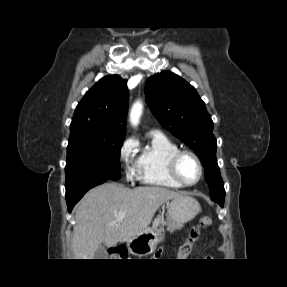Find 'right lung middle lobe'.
Listing matches in <instances>:
<instances>
[{
  "label": "right lung middle lobe",
  "instance_id": "1",
  "mask_svg": "<svg viewBox=\"0 0 287 287\" xmlns=\"http://www.w3.org/2000/svg\"><path fill=\"white\" fill-rule=\"evenodd\" d=\"M123 139L96 136L87 129L71 132L65 167L66 192L88 181L119 179Z\"/></svg>",
  "mask_w": 287,
  "mask_h": 287
}]
</instances>
